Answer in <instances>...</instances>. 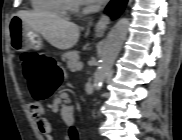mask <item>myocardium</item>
<instances>
[{
    "label": "myocardium",
    "instance_id": "f54148a6",
    "mask_svg": "<svg viewBox=\"0 0 182 140\" xmlns=\"http://www.w3.org/2000/svg\"><path fill=\"white\" fill-rule=\"evenodd\" d=\"M66 8L67 10L77 11L79 9V4L77 1L71 0L67 2Z\"/></svg>",
    "mask_w": 182,
    "mask_h": 140
}]
</instances>
